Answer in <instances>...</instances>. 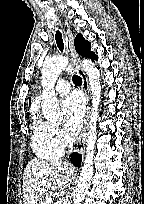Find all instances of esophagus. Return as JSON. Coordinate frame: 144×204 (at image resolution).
Returning a JSON list of instances; mask_svg holds the SVG:
<instances>
[{"instance_id":"34e87169","label":"esophagus","mask_w":144,"mask_h":204,"mask_svg":"<svg viewBox=\"0 0 144 204\" xmlns=\"http://www.w3.org/2000/svg\"><path fill=\"white\" fill-rule=\"evenodd\" d=\"M64 41H65L66 50L69 53V55L71 56L72 65H73L74 69L76 70V72L79 74V76L82 79V90H83V93L85 95L86 104H87L84 127H83L82 133H81V135L79 137V142H78V145H77V152L82 154V153H84V150H85L88 120H89V116H90L89 84H88L87 76H86L85 72L83 71V69H82V67H81V65L79 63L78 54H77V52L75 50V46H74V35H73V33L71 32V30L69 28L65 32Z\"/></svg>"}]
</instances>
